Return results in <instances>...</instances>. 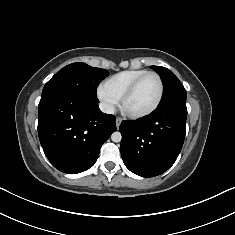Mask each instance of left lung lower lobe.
I'll use <instances>...</instances> for the list:
<instances>
[{"label":"left lung lower lobe","mask_w":235,"mask_h":235,"mask_svg":"<svg viewBox=\"0 0 235 235\" xmlns=\"http://www.w3.org/2000/svg\"><path fill=\"white\" fill-rule=\"evenodd\" d=\"M186 102L159 106L138 120L123 121L121 155L125 166L142 177L164 173L176 161L186 132Z\"/></svg>","instance_id":"left-lung-lower-lobe-1"}]
</instances>
